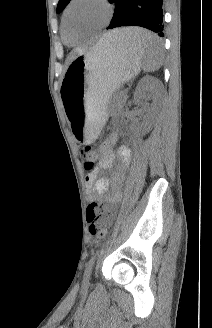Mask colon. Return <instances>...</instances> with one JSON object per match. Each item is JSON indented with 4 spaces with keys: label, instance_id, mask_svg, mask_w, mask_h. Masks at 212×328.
Segmentation results:
<instances>
[{
    "label": "colon",
    "instance_id": "5ec220e1",
    "mask_svg": "<svg viewBox=\"0 0 212 328\" xmlns=\"http://www.w3.org/2000/svg\"><path fill=\"white\" fill-rule=\"evenodd\" d=\"M81 154L85 160V169L90 171L96 160V152L92 146L86 145L82 148ZM104 209L98 203L93 202L87 207L86 215L89 223V230L92 236L103 238L105 236V229L99 223L100 217L103 215Z\"/></svg>",
    "mask_w": 212,
    "mask_h": 328
}]
</instances>
